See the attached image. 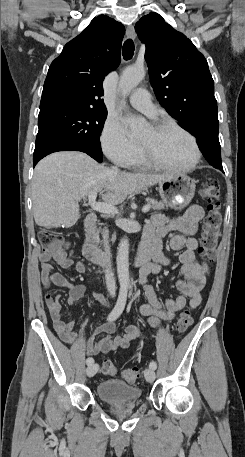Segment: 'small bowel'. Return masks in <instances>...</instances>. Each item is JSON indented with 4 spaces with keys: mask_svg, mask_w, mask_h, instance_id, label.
<instances>
[{
    "mask_svg": "<svg viewBox=\"0 0 245 457\" xmlns=\"http://www.w3.org/2000/svg\"><path fill=\"white\" fill-rule=\"evenodd\" d=\"M205 210L199 205L191 206L184 215L170 219L163 213L153 215L151 221L144 230L142 247H146L153 252V263L142 268L139 284L143 288L147 299L146 304L139 307L142 315L148 318L149 324L156 327L162 321L172 320L177 311L183 309L187 300L190 308H196L201 302V291L206 283L209 269L206 263L198 262L195 251L198 248L196 235L199 232V225L204 219ZM176 231L170 240L173 250H182L180 254L181 273L183 279L178 280L177 288L181 295L174 299H168L163 305L157 297L152 286L145 284L149 274H158L162 266L170 263V260L162 253V239L170 232ZM70 243H65L62 249L54 256L49 257L44 254L41 260V281L45 291V301L49 309L54 328L59 338L70 345L75 346L88 355L105 354L117 349L128 348L130 342L136 338H144V334L135 326L129 325L122 334L113 335L116 331V319L108 320L99 326L95 335L105 334L99 341H95L94 336L86 337L81 332H75L73 321H64L61 315V304L58 297H54L49 290L52 286L65 287L69 290L67 302L74 305L85 293V286L82 284H72L60 273L54 272L50 260H55L62 268H71L79 273L86 272L85 264L74 263L69 254ZM93 298L107 306H111L109 300L101 293L94 292ZM115 307V306H114ZM114 309V308H113ZM86 322L83 323V328ZM82 328V329H83Z\"/></svg>",
    "mask_w": 245,
    "mask_h": 457,
    "instance_id": "c3829d8e",
    "label": "small bowel"
}]
</instances>
